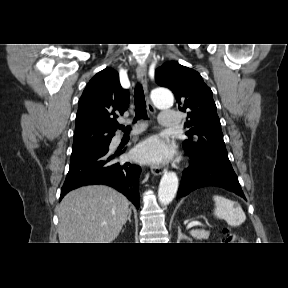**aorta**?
<instances>
[{
  "instance_id": "1",
  "label": "aorta",
  "mask_w": 288,
  "mask_h": 288,
  "mask_svg": "<svg viewBox=\"0 0 288 288\" xmlns=\"http://www.w3.org/2000/svg\"><path fill=\"white\" fill-rule=\"evenodd\" d=\"M151 99L158 108H169L173 105L174 98L170 91L155 89ZM178 189V177L175 172H166L160 181L158 199L161 205L166 206L172 202Z\"/></svg>"
}]
</instances>
